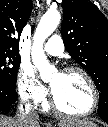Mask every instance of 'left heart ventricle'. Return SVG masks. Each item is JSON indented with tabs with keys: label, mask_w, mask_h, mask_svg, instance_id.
Here are the masks:
<instances>
[{
	"label": "left heart ventricle",
	"mask_w": 108,
	"mask_h": 127,
	"mask_svg": "<svg viewBox=\"0 0 108 127\" xmlns=\"http://www.w3.org/2000/svg\"><path fill=\"white\" fill-rule=\"evenodd\" d=\"M50 85L59 106L70 113L86 111L91 104V93L82 75L55 73Z\"/></svg>",
	"instance_id": "1"
}]
</instances>
